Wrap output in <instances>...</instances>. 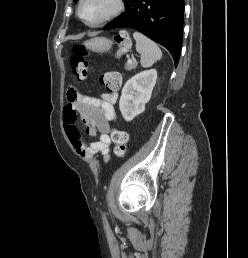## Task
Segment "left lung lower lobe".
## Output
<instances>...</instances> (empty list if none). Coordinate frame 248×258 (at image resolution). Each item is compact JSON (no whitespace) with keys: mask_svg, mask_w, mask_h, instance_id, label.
<instances>
[{"mask_svg":"<svg viewBox=\"0 0 248 258\" xmlns=\"http://www.w3.org/2000/svg\"><path fill=\"white\" fill-rule=\"evenodd\" d=\"M125 8L103 29H136L168 49L177 65L182 47L184 0H130Z\"/></svg>","mask_w":248,"mask_h":258,"instance_id":"1","label":"left lung lower lobe"}]
</instances>
